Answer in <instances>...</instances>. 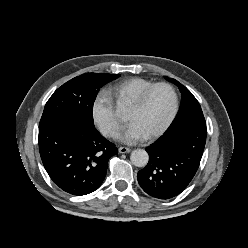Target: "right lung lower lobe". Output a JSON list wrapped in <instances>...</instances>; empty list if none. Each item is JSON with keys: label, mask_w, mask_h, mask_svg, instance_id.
I'll return each mask as SVG.
<instances>
[{"label": "right lung lower lobe", "mask_w": 248, "mask_h": 248, "mask_svg": "<svg viewBox=\"0 0 248 248\" xmlns=\"http://www.w3.org/2000/svg\"><path fill=\"white\" fill-rule=\"evenodd\" d=\"M39 151L52 181L77 196L101 185L109 159L118 153L94 125L77 120L56 122L39 131Z\"/></svg>", "instance_id": "right-lung-lower-lobe-1"}]
</instances>
